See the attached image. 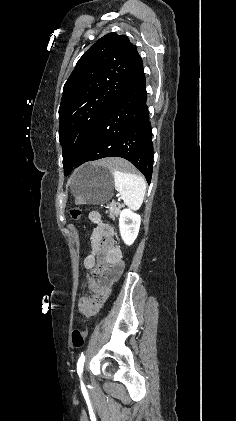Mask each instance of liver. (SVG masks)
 <instances>
[{
  "label": "liver",
  "instance_id": "6515ba94",
  "mask_svg": "<svg viewBox=\"0 0 236 421\" xmlns=\"http://www.w3.org/2000/svg\"><path fill=\"white\" fill-rule=\"evenodd\" d=\"M117 160H119V162H121V158H103V160H99L98 164H103V166H107V164H110V162H117Z\"/></svg>",
  "mask_w": 236,
  "mask_h": 421
}]
</instances>
